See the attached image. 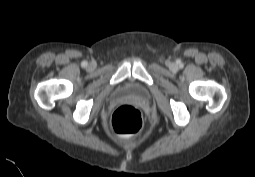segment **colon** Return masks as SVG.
<instances>
[{"label": "colon", "instance_id": "5ec220e1", "mask_svg": "<svg viewBox=\"0 0 255 177\" xmlns=\"http://www.w3.org/2000/svg\"><path fill=\"white\" fill-rule=\"evenodd\" d=\"M110 125L112 130L123 136L138 133L143 125L140 111L132 105L118 107L111 116Z\"/></svg>", "mask_w": 255, "mask_h": 177}]
</instances>
